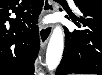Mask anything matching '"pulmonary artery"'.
Instances as JSON below:
<instances>
[{"mask_svg": "<svg viewBox=\"0 0 102 75\" xmlns=\"http://www.w3.org/2000/svg\"><path fill=\"white\" fill-rule=\"evenodd\" d=\"M69 2H70L71 4H73V1H72V0H70Z\"/></svg>", "mask_w": 102, "mask_h": 75, "instance_id": "pulmonary-artery-1", "label": "pulmonary artery"}]
</instances>
